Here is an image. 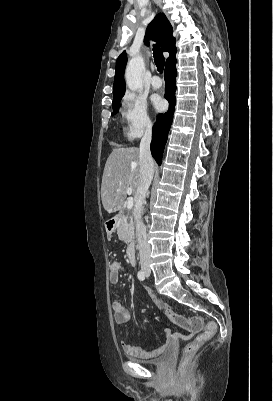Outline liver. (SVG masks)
<instances>
[{"label":"liver","mask_w":273,"mask_h":401,"mask_svg":"<svg viewBox=\"0 0 273 401\" xmlns=\"http://www.w3.org/2000/svg\"><path fill=\"white\" fill-rule=\"evenodd\" d=\"M139 170V148H113L106 160L101 184L102 205L107 213L122 209L127 196L126 188H132L136 198Z\"/></svg>","instance_id":"1"}]
</instances>
